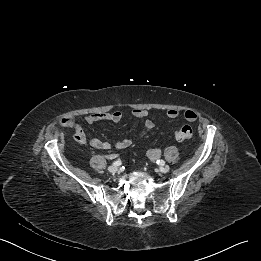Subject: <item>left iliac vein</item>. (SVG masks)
<instances>
[{
    "mask_svg": "<svg viewBox=\"0 0 261 261\" xmlns=\"http://www.w3.org/2000/svg\"><path fill=\"white\" fill-rule=\"evenodd\" d=\"M169 170H170V167L168 165L164 164L163 166L160 167V171L162 173H167Z\"/></svg>",
    "mask_w": 261,
    "mask_h": 261,
    "instance_id": "1",
    "label": "left iliac vein"
}]
</instances>
